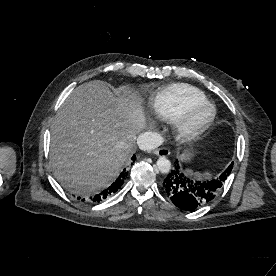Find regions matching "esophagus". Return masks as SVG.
<instances>
[{
    "label": "esophagus",
    "instance_id": "1",
    "mask_svg": "<svg viewBox=\"0 0 276 276\" xmlns=\"http://www.w3.org/2000/svg\"><path fill=\"white\" fill-rule=\"evenodd\" d=\"M154 153H155L156 155H158V156H163V157H167V156L170 155L169 149L164 148V147L159 148V149H156V150L154 151Z\"/></svg>",
    "mask_w": 276,
    "mask_h": 276
}]
</instances>
